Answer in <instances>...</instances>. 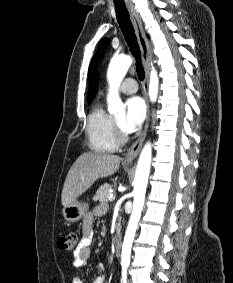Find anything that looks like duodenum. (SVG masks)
Segmentation results:
<instances>
[{"label":"duodenum","instance_id":"duodenum-1","mask_svg":"<svg viewBox=\"0 0 233 283\" xmlns=\"http://www.w3.org/2000/svg\"><path fill=\"white\" fill-rule=\"evenodd\" d=\"M121 247H122L121 238H120V236H117L116 240H115V254H116V256H120Z\"/></svg>","mask_w":233,"mask_h":283}]
</instances>
